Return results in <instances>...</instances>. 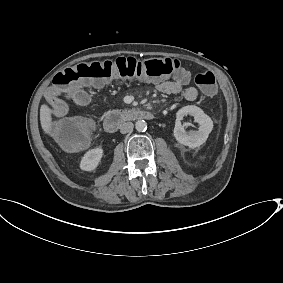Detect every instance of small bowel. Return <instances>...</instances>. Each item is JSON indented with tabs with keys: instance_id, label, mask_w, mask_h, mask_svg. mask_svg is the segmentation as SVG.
<instances>
[{
	"instance_id": "c3829d8e",
	"label": "small bowel",
	"mask_w": 283,
	"mask_h": 283,
	"mask_svg": "<svg viewBox=\"0 0 283 283\" xmlns=\"http://www.w3.org/2000/svg\"><path fill=\"white\" fill-rule=\"evenodd\" d=\"M190 73L184 68H179L172 77V80H156V89L164 94H182V96L193 101L197 98V90L189 85ZM64 92L55 85L49 87L45 93L46 100L52 114L57 118L64 117L68 112L67 103L61 98Z\"/></svg>"
}]
</instances>
